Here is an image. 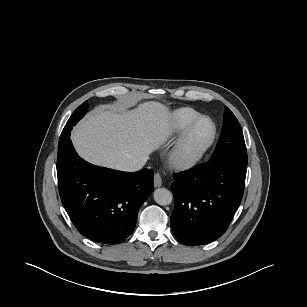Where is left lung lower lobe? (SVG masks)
I'll use <instances>...</instances> for the list:
<instances>
[{"instance_id":"0a47b994","label":"left lung lower lobe","mask_w":307,"mask_h":307,"mask_svg":"<svg viewBox=\"0 0 307 307\" xmlns=\"http://www.w3.org/2000/svg\"><path fill=\"white\" fill-rule=\"evenodd\" d=\"M246 167L229 160L208 161L174 174L175 208L170 223L184 245H202L222 236L242 200Z\"/></svg>"}]
</instances>
